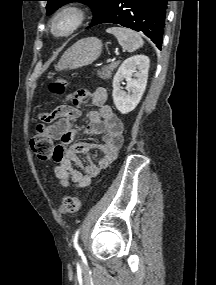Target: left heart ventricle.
<instances>
[{"instance_id": "obj_1", "label": "left heart ventricle", "mask_w": 216, "mask_h": 285, "mask_svg": "<svg viewBox=\"0 0 216 285\" xmlns=\"http://www.w3.org/2000/svg\"><path fill=\"white\" fill-rule=\"evenodd\" d=\"M70 25H71V19L69 17H65L57 23L56 30L58 32H62L66 30Z\"/></svg>"}]
</instances>
